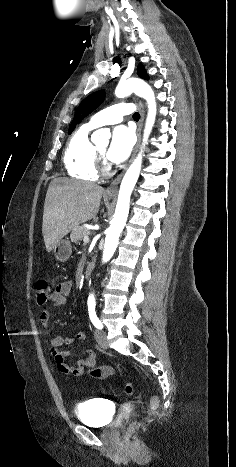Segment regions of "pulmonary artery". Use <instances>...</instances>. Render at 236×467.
Instances as JSON below:
<instances>
[{
  "label": "pulmonary artery",
  "mask_w": 236,
  "mask_h": 467,
  "mask_svg": "<svg viewBox=\"0 0 236 467\" xmlns=\"http://www.w3.org/2000/svg\"><path fill=\"white\" fill-rule=\"evenodd\" d=\"M133 110L130 104H115L93 115L87 125L97 128L102 125L115 124L122 121L124 116L130 115Z\"/></svg>",
  "instance_id": "e3ab8cb5"
}]
</instances>
